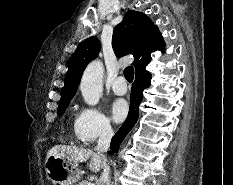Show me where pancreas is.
<instances>
[{
    "label": "pancreas",
    "instance_id": "1",
    "mask_svg": "<svg viewBox=\"0 0 233 185\" xmlns=\"http://www.w3.org/2000/svg\"><path fill=\"white\" fill-rule=\"evenodd\" d=\"M87 184H88L87 181H81V182H79V184H77V185H87Z\"/></svg>",
    "mask_w": 233,
    "mask_h": 185
}]
</instances>
